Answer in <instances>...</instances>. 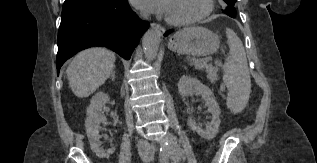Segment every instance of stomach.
Masks as SVG:
<instances>
[{"label":"stomach","mask_w":317,"mask_h":163,"mask_svg":"<svg viewBox=\"0 0 317 163\" xmlns=\"http://www.w3.org/2000/svg\"><path fill=\"white\" fill-rule=\"evenodd\" d=\"M220 45L219 36L203 27H188L177 32L169 41V48L192 56L215 53Z\"/></svg>","instance_id":"obj_1"}]
</instances>
